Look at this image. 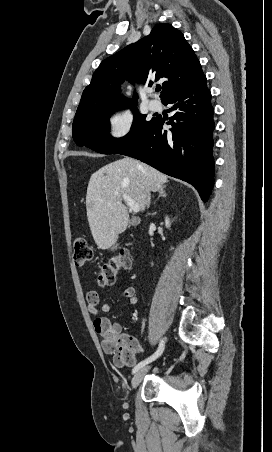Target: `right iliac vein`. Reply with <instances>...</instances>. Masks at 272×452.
Wrapping results in <instances>:
<instances>
[{
    "instance_id": "63e3f726",
    "label": "right iliac vein",
    "mask_w": 272,
    "mask_h": 452,
    "mask_svg": "<svg viewBox=\"0 0 272 452\" xmlns=\"http://www.w3.org/2000/svg\"><path fill=\"white\" fill-rule=\"evenodd\" d=\"M149 367H144L136 372L131 381V388L134 390L142 381L145 373L148 371Z\"/></svg>"
}]
</instances>
